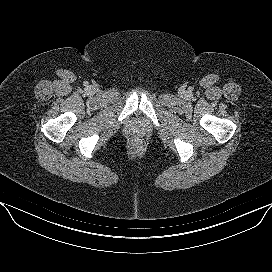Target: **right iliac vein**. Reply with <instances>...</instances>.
<instances>
[{
	"label": "right iliac vein",
	"instance_id": "63e3f726",
	"mask_svg": "<svg viewBox=\"0 0 272 272\" xmlns=\"http://www.w3.org/2000/svg\"><path fill=\"white\" fill-rule=\"evenodd\" d=\"M91 92H94L95 90L93 88L90 89Z\"/></svg>",
	"mask_w": 272,
	"mask_h": 272
}]
</instances>
